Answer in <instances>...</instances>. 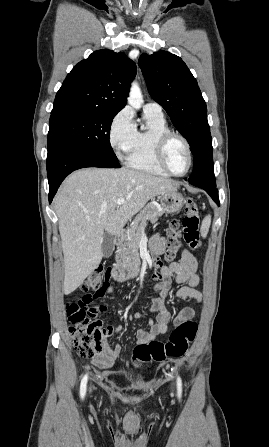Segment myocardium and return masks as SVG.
<instances>
[{"label":"myocardium","mask_w":269,"mask_h":447,"mask_svg":"<svg viewBox=\"0 0 269 447\" xmlns=\"http://www.w3.org/2000/svg\"><path fill=\"white\" fill-rule=\"evenodd\" d=\"M175 139L181 141L184 144V146L186 148V151H187V155H188L187 167L182 172L174 171L171 168V166L169 165V162L167 160V149H168V146ZM156 158H157L158 163L168 173H170L171 175H174V176H183L190 170L191 165H192L191 145H190L189 141L184 136H182L179 133H176V132H173V131H170V132H167V133H163V134L159 135L157 137V140H156Z\"/></svg>","instance_id":"1"}]
</instances>
